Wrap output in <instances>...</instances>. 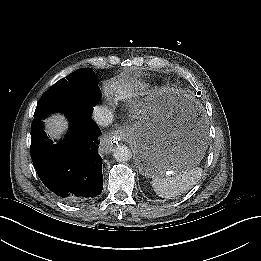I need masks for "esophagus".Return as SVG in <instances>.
<instances>
[{"mask_svg":"<svg viewBox=\"0 0 261 261\" xmlns=\"http://www.w3.org/2000/svg\"><path fill=\"white\" fill-rule=\"evenodd\" d=\"M124 133V129H119L112 133H109L106 136V143L102 145V151L105 153H109L112 150L113 146L123 138Z\"/></svg>","mask_w":261,"mask_h":261,"instance_id":"1","label":"esophagus"}]
</instances>
